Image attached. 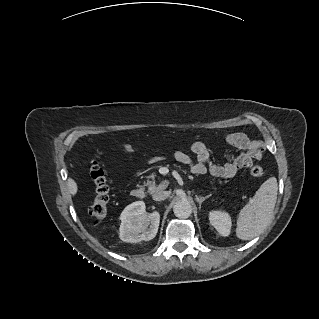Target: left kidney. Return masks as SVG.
Wrapping results in <instances>:
<instances>
[{"label": "left kidney", "mask_w": 319, "mask_h": 319, "mask_svg": "<svg viewBox=\"0 0 319 319\" xmlns=\"http://www.w3.org/2000/svg\"><path fill=\"white\" fill-rule=\"evenodd\" d=\"M210 224L218 231L222 236H229L231 232V217L225 211L212 210L209 212Z\"/></svg>", "instance_id": "1"}]
</instances>
